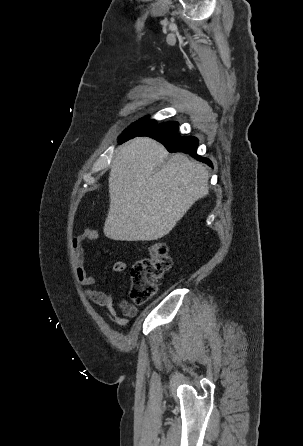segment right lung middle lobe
I'll return each instance as SVG.
<instances>
[{
  "instance_id": "dd1d6c3e",
  "label": "right lung middle lobe",
  "mask_w": 303,
  "mask_h": 446,
  "mask_svg": "<svg viewBox=\"0 0 303 446\" xmlns=\"http://www.w3.org/2000/svg\"><path fill=\"white\" fill-rule=\"evenodd\" d=\"M155 124H157L156 120H147L146 118L133 123L121 134V136L119 137V143H123L131 138L138 136Z\"/></svg>"
}]
</instances>
